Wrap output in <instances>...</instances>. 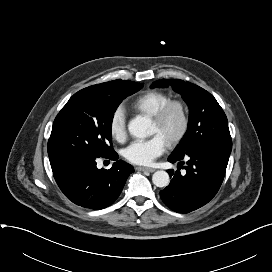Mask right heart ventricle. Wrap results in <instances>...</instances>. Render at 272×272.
<instances>
[{
	"instance_id": "obj_1",
	"label": "right heart ventricle",
	"mask_w": 272,
	"mask_h": 272,
	"mask_svg": "<svg viewBox=\"0 0 272 272\" xmlns=\"http://www.w3.org/2000/svg\"><path fill=\"white\" fill-rule=\"evenodd\" d=\"M170 96L159 90H148L131 102V108L140 114L152 116L162 105L170 100Z\"/></svg>"
}]
</instances>
